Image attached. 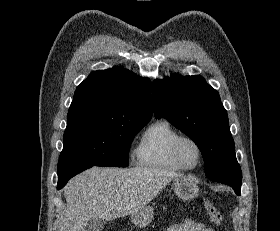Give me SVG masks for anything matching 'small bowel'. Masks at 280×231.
<instances>
[{"mask_svg":"<svg viewBox=\"0 0 280 231\" xmlns=\"http://www.w3.org/2000/svg\"><path fill=\"white\" fill-rule=\"evenodd\" d=\"M168 231H214V229L202 222L184 218L171 225Z\"/></svg>","mask_w":280,"mask_h":231,"instance_id":"c3829d8e","label":"small bowel"}]
</instances>
